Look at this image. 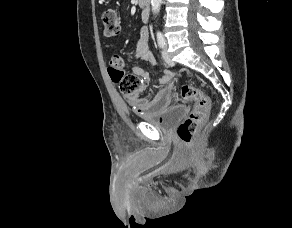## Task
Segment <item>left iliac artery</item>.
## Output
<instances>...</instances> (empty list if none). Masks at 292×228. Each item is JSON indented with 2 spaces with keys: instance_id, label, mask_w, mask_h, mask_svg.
I'll return each instance as SVG.
<instances>
[{
  "instance_id": "obj_1",
  "label": "left iliac artery",
  "mask_w": 292,
  "mask_h": 228,
  "mask_svg": "<svg viewBox=\"0 0 292 228\" xmlns=\"http://www.w3.org/2000/svg\"><path fill=\"white\" fill-rule=\"evenodd\" d=\"M157 42L160 48H163L165 46V38L162 33L157 34Z\"/></svg>"
}]
</instances>
